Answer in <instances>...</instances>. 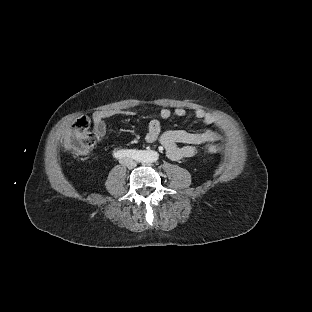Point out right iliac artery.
Listing matches in <instances>:
<instances>
[{"mask_svg": "<svg viewBox=\"0 0 312 312\" xmlns=\"http://www.w3.org/2000/svg\"><path fill=\"white\" fill-rule=\"evenodd\" d=\"M128 156V152L126 150H118L114 152V157L118 159H122Z\"/></svg>", "mask_w": 312, "mask_h": 312, "instance_id": "right-iliac-artery-1", "label": "right iliac artery"}]
</instances>
